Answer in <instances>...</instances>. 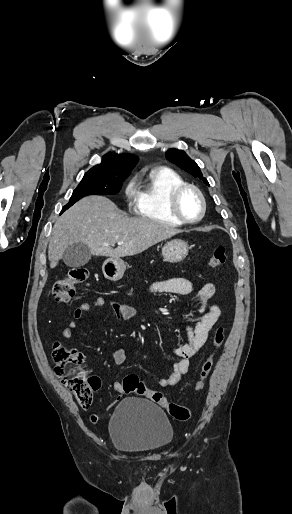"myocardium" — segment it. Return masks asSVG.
Masks as SVG:
<instances>
[{
    "mask_svg": "<svg viewBox=\"0 0 292 514\" xmlns=\"http://www.w3.org/2000/svg\"><path fill=\"white\" fill-rule=\"evenodd\" d=\"M184 190H192L199 199L200 213L196 219H187L178 209V198ZM166 207L169 214L181 224H195L203 219L206 212V202L202 191L196 185L190 183H181L170 189L166 196Z\"/></svg>",
    "mask_w": 292,
    "mask_h": 514,
    "instance_id": "myocardium-1",
    "label": "myocardium"
}]
</instances>
